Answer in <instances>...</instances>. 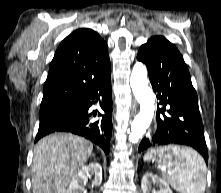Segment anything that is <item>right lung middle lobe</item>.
Instances as JSON below:
<instances>
[{"label":"right lung middle lobe","instance_id":"dd1d6c3e","mask_svg":"<svg viewBox=\"0 0 221 193\" xmlns=\"http://www.w3.org/2000/svg\"><path fill=\"white\" fill-rule=\"evenodd\" d=\"M78 107V99H57L42 102L39 127H44L67 118L75 113Z\"/></svg>","mask_w":221,"mask_h":193}]
</instances>
